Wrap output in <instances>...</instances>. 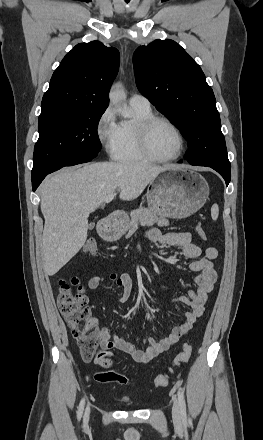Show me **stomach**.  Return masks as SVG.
<instances>
[{
  "mask_svg": "<svg viewBox=\"0 0 263 440\" xmlns=\"http://www.w3.org/2000/svg\"><path fill=\"white\" fill-rule=\"evenodd\" d=\"M209 196L207 181L198 173L182 167L163 171L150 183L147 191L149 209L156 215L184 219L197 212ZM124 219L107 235L110 240L119 239L127 230Z\"/></svg>",
  "mask_w": 263,
  "mask_h": 440,
  "instance_id": "0dacf381",
  "label": "stomach"
}]
</instances>
